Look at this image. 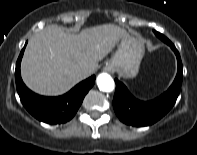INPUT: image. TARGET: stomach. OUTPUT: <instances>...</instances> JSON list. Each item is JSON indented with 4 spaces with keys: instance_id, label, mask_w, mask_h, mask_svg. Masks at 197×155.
Here are the masks:
<instances>
[{
    "instance_id": "stomach-1",
    "label": "stomach",
    "mask_w": 197,
    "mask_h": 155,
    "mask_svg": "<svg viewBox=\"0 0 197 155\" xmlns=\"http://www.w3.org/2000/svg\"><path fill=\"white\" fill-rule=\"evenodd\" d=\"M143 55L144 46L141 42L129 36L123 37L117 52L106 67L116 71L122 77L133 78L139 71Z\"/></svg>"
}]
</instances>
